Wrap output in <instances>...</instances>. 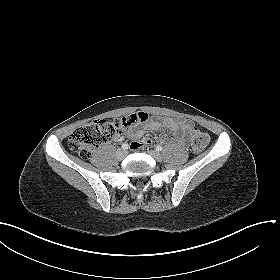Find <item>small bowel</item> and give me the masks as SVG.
Wrapping results in <instances>:
<instances>
[{
  "instance_id": "obj_1",
  "label": "small bowel",
  "mask_w": 280,
  "mask_h": 280,
  "mask_svg": "<svg viewBox=\"0 0 280 280\" xmlns=\"http://www.w3.org/2000/svg\"><path fill=\"white\" fill-rule=\"evenodd\" d=\"M193 122L185 118L166 117L161 120L151 119L146 122L143 128L130 129L129 135L135 139L141 138L146 130H169L174 135L180 137L181 141L185 139L188 133L193 129ZM146 145H151L152 141L147 140Z\"/></svg>"
}]
</instances>
